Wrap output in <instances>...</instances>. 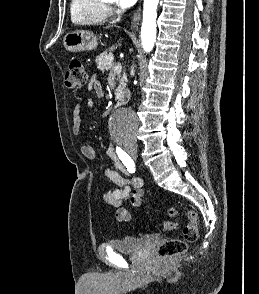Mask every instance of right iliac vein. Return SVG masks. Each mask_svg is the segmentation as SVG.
<instances>
[{"mask_svg":"<svg viewBox=\"0 0 259 294\" xmlns=\"http://www.w3.org/2000/svg\"><path fill=\"white\" fill-rule=\"evenodd\" d=\"M129 154H130L131 156H136V154H137V149H132V150H130V151H129Z\"/></svg>","mask_w":259,"mask_h":294,"instance_id":"right-iliac-vein-1","label":"right iliac vein"}]
</instances>
